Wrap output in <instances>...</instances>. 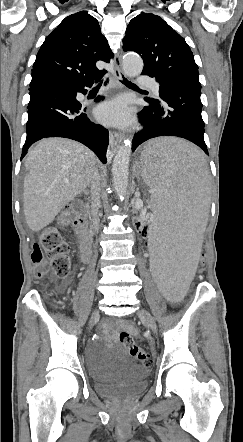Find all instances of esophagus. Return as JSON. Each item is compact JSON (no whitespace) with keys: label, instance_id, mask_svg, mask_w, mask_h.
Returning a JSON list of instances; mask_svg holds the SVG:
<instances>
[{"label":"esophagus","instance_id":"34e87169","mask_svg":"<svg viewBox=\"0 0 243 442\" xmlns=\"http://www.w3.org/2000/svg\"><path fill=\"white\" fill-rule=\"evenodd\" d=\"M121 55H122V53H121V51H119V52H117V54L115 55V58H114L113 75H114V77L116 79H120L121 78V74H122V71H121ZM122 139H123V136L120 133L115 132V131L110 133V137H109V151L111 152L112 155L117 151L120 143L122 142Z\"/></svg>","mask_w":243,"mask_h":442}]
</instances>
